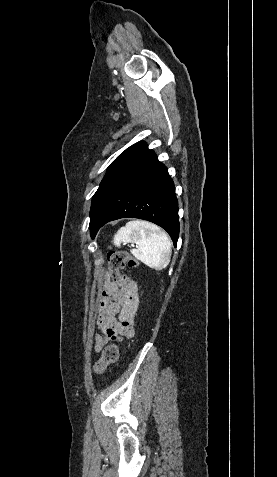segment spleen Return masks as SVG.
Masks as SVG:
<instances>
[{"instance_id": "obj_1", "label": "spleen", "mask_w": 277, "mask_h": 477, "mask_svg": "<svg viewBox=\"0 0 277 477\" xmlns=\"http://www.w3.org/2000/svg\"><path fill=\"white\" fill-rule=\"evenodd\" d=\"M113 243L117 247L121 243L136 244L137 248L131 249V254L155 270L166 268L171 259L170 238L161 228L146 221L128 222L114 235Z\"/></svg>"}]
</instances>
